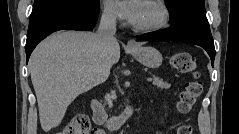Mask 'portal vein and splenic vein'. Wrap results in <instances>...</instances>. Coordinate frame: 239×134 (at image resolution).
I'll list each match as a JSON object with an SVG mask.
<instances>
[{"mask_svg":"<svg viewBox=\"0 0 239 134\" xmlns=\"http://www.w3.org/2000/svg\"><path fill=\"white\" fill-rule=\"evenodd\" d=\"M147 81H148V82H151V81H152V78H147Z\"/></svg>","mask_w":239,"mask_h":134,"instance_id":"portal-vein-and-splenic-vein-1","label":"portal vein and splenic vein"}]
</instances>
